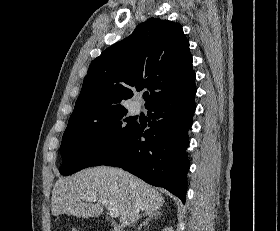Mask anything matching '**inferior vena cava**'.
Here are the masks:
<instances>
[{
    "instance_id": "inferior-vena-cava-1",
    "label": "inferior vena cava",
    "mask_w": 280,
    "mask_h": 231,
    "mask_svg": "<svg viewBox=\"0 0 280 231\" xmlns=\"http://www.w3.org/2000/svg\"><path fill=\"white\" fill-rule=\"evenodd\" d=\"M132 183H133V181H132ZM139 205H141L140 199H134L133 205H132L133 213L131 215L132 223H135V221H137V219H139V217H140V215L138 213Z\"/></svg>"
}]
</instances>
